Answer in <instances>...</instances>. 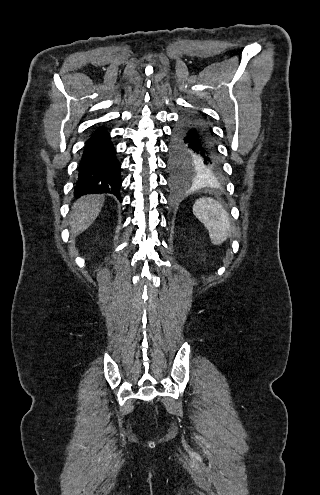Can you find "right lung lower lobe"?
Segmentation results:
<instances>
[{
	"label": "right lung lower lobe",
	"mask_w": 320,
	"mask_h": 495,
	"mask_svg": "<svg viewBox=\"0 0 320 495\" xmlns=\"http://www.w3.org/2000/svg\"><path fill=\"white\" fill-rule=\"evenodd\" d=\"M74 195L111 193L121 201V164L108 131L98 127L82 149Z\"/></svg>",
	"instance_id": "1"
}]
</instances>
